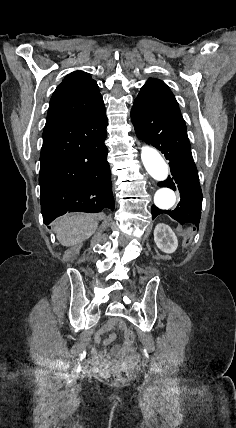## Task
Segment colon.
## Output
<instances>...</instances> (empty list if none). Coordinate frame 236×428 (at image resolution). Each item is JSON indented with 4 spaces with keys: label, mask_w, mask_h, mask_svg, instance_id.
Listing matches in <instances>:
<instances>
[{
    "label": "colon",
    "mask_w": 236,
    "mask_h": 428,
    "mask_svg": "<svg viewBox=\"0 0 236 428\" xmlns=\"http://www.w3.org/2000/svg\"><path fill=\"white\" fill-rule=\"evenodd\" d=\"M124 340L127 345H132L135 341V336L132 331H126ZM131 378V373L128 367L121 365L114 370V379L118 382H127Z\"/></svg>",
    "instance_id": "1"
}]
</instances>
